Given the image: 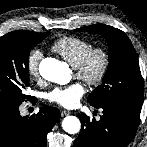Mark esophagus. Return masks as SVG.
Wrapping results in <instances>:
<instances>
[{
    "mask_svg": "<svg viewBox=\"0 0 147 147\" xmlns=\"http://www.w3.org/2000/svg\"><path fill=\"white\" fill-rule=\"evenodd\" d=\"M71 112L67 111V110H62L61 111V116L64 117L66 115H69Z\"/></svg>",
    "mask_w": 147,
    "mask_h": 147,
    "instance_id": "34e87169",
    "label": "esophagus"
}]
</instances>
